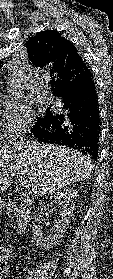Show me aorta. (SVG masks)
I'll return each mask as SVG.
<instances>
[{
	"label": "aorta",
	"mask_w": 113,
	"mask_h": 279,
	"mask_svg": "<svg viewBox=\"0 0 113 279\" xmlns=\"http://www.w3.org/2000/svg\"><path fill=\"white\" fill-rule=\"evenodd\" d=\"M17 90H18L17 87H12L11 88V93L16 95L17 94Z\"/></svg>",
	"instance_id": "1"
}]
</instances>
